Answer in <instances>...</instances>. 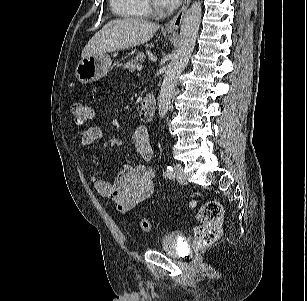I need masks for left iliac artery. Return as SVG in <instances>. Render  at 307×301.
<instances>
[{"label":"left iliac artery","instance_id":"44dca946","mask_svg":"<svg viewBox=\"0 0 307 301\" xmlns=\"http://www.w3.org/2000/svg\"><path fill=\"white\" fill-rule=\"evenodd\" d=\"M166 175L170 179L175 177V173H174V170H173L172 166L167 165V167H166Z\"/></svg>","mask_w":307,"mask_h":301}]
</instances>
